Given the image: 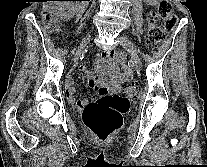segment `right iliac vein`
<instances>
[{"label": "right iliac vein", "mask_w": 207, "mask_h": 167, "mask_svg": "<svg viewBox=\"0 0 207 167\" xmlns=\"http://www.w3.org/2000/svg\"><path fill=\"white\" fill-rule=\"evenodd\" d=\"M90 40H91V37L90 36H86L85 38H83V40L80 42L77 50H75L73 52V54H74V61L75 62L79 59L82 51L85 49V47L90 42Z\"/></svg>", "instance_id": "obj_1"}]
</instances>
